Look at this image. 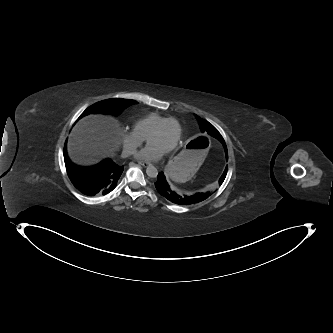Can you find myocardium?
I'll return each mask as SVG.
<instances>
[{"instance_id":"myocardium-1","label":"myocardium","mask_w":333,"mask_h":333,"mask_svg":"<svg viewBox=\"0 0 333 333\" xmlns=\"http://www.w3.org/2000/svg\"><path fill=\"white\" fill-rule=\"evenodd\" d=\"M175 123L177 128H178V132L180 133V124L178 122L177 119L173 118V117H169L168 119L164 120L163 122H161L148 136V142L151 141V139L158 135L159 133L162 132V130L164 129V127L168 124V123ZM178 141H179V136L177 137V139L175 140V142L167 149L168 152L174 150L177 145H178Z\"/></svg>"}]
</instances>
